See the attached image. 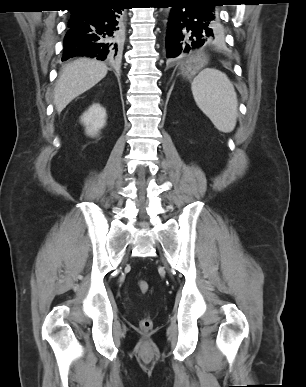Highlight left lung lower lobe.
I'll list each match as a JSON object with an SVG mask.
<instances>
[{"label": "left lung lower lobe", "mask_w": 306, "mask_h": 387, "mask_svg": "<svg viewBox=\"0 0 306 387\" xmlns=\"http://www.w3.org/2000/svg\"><path fill=\"white\" fill-rule=\"evenodd\" d=\"M172 12L166 34V54L172 65L189 51L200 48L214 37L219 22V0H163Z\"/></svg>", "instance_id": "0a47b994"}]
</instances>
